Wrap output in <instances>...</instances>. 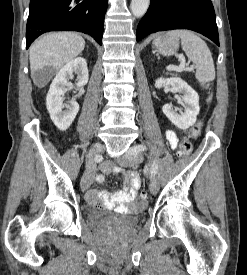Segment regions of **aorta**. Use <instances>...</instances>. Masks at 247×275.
I'll list each match as a JSON object with an SVG mask.
<instances>
[{"label": "aorta", "mask_w": 247, "mask_h": 275, "mask_svg": "<svg viewBox=\"0 0 247 275\" xmlns=\"http://www.w3.org/2000/svg\"><path fill=\"white\" fill-rule=\"evenodd\" d=\"M149 4L150 0H131L130 8L132 14L137 18L142 17L146 13Z\"/></svg>", "instance_id": "762f6f07"}]
</instances>
